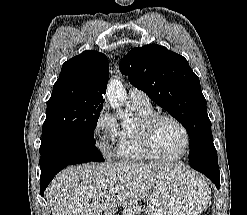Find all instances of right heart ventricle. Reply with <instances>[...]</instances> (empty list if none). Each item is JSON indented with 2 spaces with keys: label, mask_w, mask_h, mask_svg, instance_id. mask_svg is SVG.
<instances>
[{
  "label": "right heart ventricle",
  "mask_w": 247,
  "mask_h": 215,
  "mask_svg": "<svg viewBox=\"0 0 247 215\" xmlns=\"http://www.w3.org/2000/svg\"><path fill=\"white\" fill-rule=\"evenodd\" d=\"M130 107L141 122L153 114L151 107L140 108L131 104ZM115 155L125 162H146L153 160L142 143L139 127L133 129L123 127L120 129Z\"/></svg>",
  "instance_id": "1"
}]
</instances>
